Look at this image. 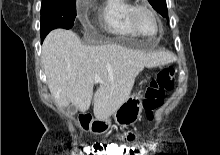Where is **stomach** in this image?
<instances>
[{
    "label": "stomach",
    "instance_id": "1",
    "mask_svg": "<svg viewBox=\"0 0 220 155\" xmlns=\"http://www.w3.org/2000/svg\"><path fill=\"white\" fill-rule=\"evenodd\" d=\"M142 82L139 83L141 85ZM143 111L142 104V94L141 90L133 93L127 100H125L118 109L113 113V118L119 126H130L136 123L141 119V114ZM84 129L89 130L94 134H103L109 130L111 127L110 118L105 120L92 119L85 126H82Z\"/></svg>",
    "mask_w": 220,
    "mask_h": 155
}]
</instances>
